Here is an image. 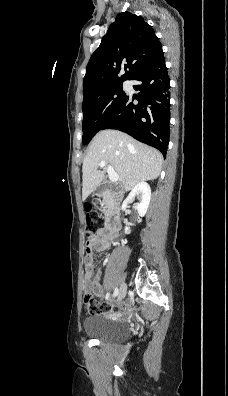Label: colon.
<instances>
[{"mask_svg": "<svg viewBox=\"0 0 228 396\" xmlns=\"http://www.w3.org/2000/svg\"><path fill=\"white\" fill-rule=\"evenodd\" d=\"M91 208L92 206L90 204L86 205V210H87L86 234L88 236V239H90L93 236L94 229L98 230L103 226V219L99 214L91 212ZM84 303L87 312L91 315H107L109 317L115 318L118 316L120 312L119 308L114 307L112 304L108 302L97 301L90 293H87L85 295ZM123 312L125 313L126 311L123 310Z\"/></svg>", "mask_w": 228, "mask_h": 396, "instance_id": "1", "label": "colon"}]
</instances>
